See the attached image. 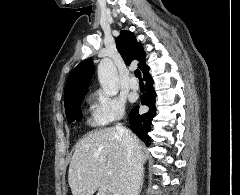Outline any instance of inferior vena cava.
Instances as JSON below:
<instances>
[{"mask_svg": "<svg viewBox=\"0 0 240 195\" xmlns=\"http://www.w3.org/2000/svg\"><path fill=\"white\" fill-rule=\"evenodd\" d=\"M117 133L120 135L123 145H125L128 153L129 175L127 177L124 195H139V189L142 181L143 163L141 153L136 137H133L131 131L116 125Z\"/></svg>", "mask_w": 240, "mask_h": 195, "instance_id": "1", "label": "inferior vena cava"}]
</instances>
